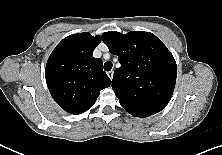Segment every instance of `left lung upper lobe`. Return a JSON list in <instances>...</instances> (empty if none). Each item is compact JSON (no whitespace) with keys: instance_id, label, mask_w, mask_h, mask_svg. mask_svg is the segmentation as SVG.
Wrapping results in <instances>:
<instances>
[{"instance_id":"1","label":"left lung upper lobe","mask_w":222,"mask_h":155,"mask_svg":"<svg viewBox=\"0 0 222 155\" xmlns=\"http://www.w3.org/2000/svg\"><path fill=\"white\" fill-rule=\"evenodd\" d=\"M102 40L121 64L112 80L121 106L140 118L164 109L174 91L177 65L163 42L143 31L105 32Z\"/></svg>"}]
</instances>
